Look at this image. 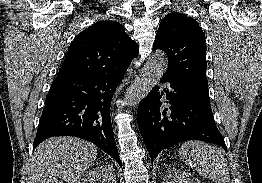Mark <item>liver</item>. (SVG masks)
Instances as JSON below:
<instances>
[{
    "label": "liver",
    "instance_id": "1",
    "mask_svg": "<svg viewBox=\"0 0 262 183\" xmlns=\"http://www.w3.org/2000/svg\"><path fill=\"white\" fill-rule=\"evenodd\" d=\"M96 157V146L86 140L51 137L31 156L28 183H75Z\"/></svg>",
    "mask_w": 262,
    "mask_h": 183
}]
</instances>
